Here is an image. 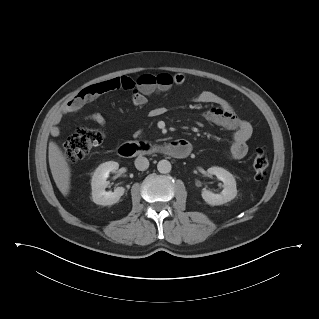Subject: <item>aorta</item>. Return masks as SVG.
I'll return each mask as SVG.
<instances>
[{"mask_svg": "<svg viewBox=\"0 0 319 319\" xmlns=\"http://www.w3.org/2000/svg\"><path fill=\"white\" fill-rule=\"evenodd\" d=\"M171 168V163L168 160H160L157 164V169L162 174L169 173Z\"/></svg>", "mask_w": 319, "mask_h": 319, "instance_id": "obj_1", "label": "aorta"}]
</instances>
